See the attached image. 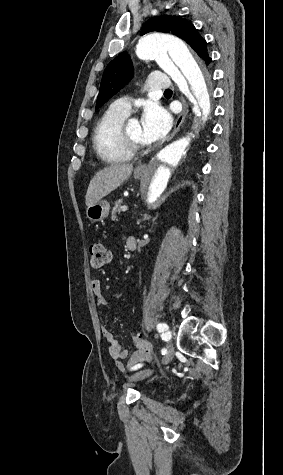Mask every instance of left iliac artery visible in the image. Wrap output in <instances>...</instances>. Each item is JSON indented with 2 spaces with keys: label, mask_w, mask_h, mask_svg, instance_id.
Returning <instances> with one entry per match:
<instances>
[{
  "label": "left iliac artery",
  "mask_w": 283,
  "mask_h": 475,
  "mask_svg": "<svg viewBox=\"0 0 283 475\" xmlns=\"http://www.w3.org/2000/svg\"><path fill=\"white\" fill-rule=\"evenodd\" d=\"M167 329H168V326H167V324H165V323H160V324L157 325V330H158L159 332L166 331ZM164 338H165V340H167L166 337H164ZM141 367H142V364H138V365H135L132 369H133V370H137V369H139V368H141Z\"/></svg>",
  "instance_id": "obj_1"
}]
</instances>
